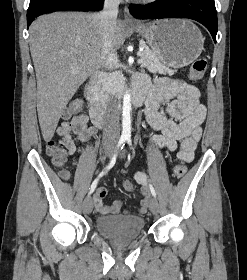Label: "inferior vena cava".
I'll list each match as a JSON object with an SVG mask.
<instances>
[{"mask_svg": "<svg viewBox=\"0 0 247 280\" xmlns=\"http://www.w3.org/2000/svg\"><path fill=\"white\" fill-rule=\"evenodd\" d=\"M121 0H105L102 11L98 14L99 30L102 37V65L113 70L118 57L113 47L112 40L116 29L118 7ZM120 136L119 115L115 103H111L105 116L103 132L104 143H116Z\"/></svg>", "mask_w": 247, "mask_h": 280, "instance_id": "obj_1", "label": "inferior vena cava"}]
</instances>
